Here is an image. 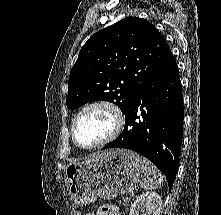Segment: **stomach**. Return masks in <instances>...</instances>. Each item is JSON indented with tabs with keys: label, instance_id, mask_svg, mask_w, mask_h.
Listing matches in <instances>:
<instances>
[{
	"label": "stomach",
	"instance_id": "0dacf381",
	"mask_svg": "<svg viewBox=\"0 0 221 215\" xmlns=\"http://www.w3.org/2000/svg\"><path fill=\"white\" fill-rule=\"evenodd\" d=\"M142 173L141 157L127 149L97 153L65 168V182L75 206H84L98 197L104 200L134 190Z\"/></svg>",
	"mask_w": 221,
	"mask_h": 215
}]
</instances>
